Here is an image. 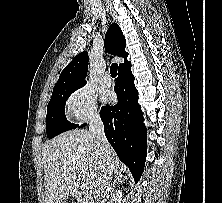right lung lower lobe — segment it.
<instances>
[{"label": "right lung lower lobe", "instance_id": "98d812e1", "mask_svg": "<svg viewBox=\"0 0 222 203\" xmlns=\"http://www.w3.org/2000/svg\"><path fill=\"white\" fill-rule=\"evenodd\" d=\"M114 91L117 104L103 106L100 111L105 136L137 182L146 161L147 141L131 65L118 70ZM84 126L77 125L79 128Z\"/></svg>", "mask_w": 222, "mask_h": 203}]
</instances>
